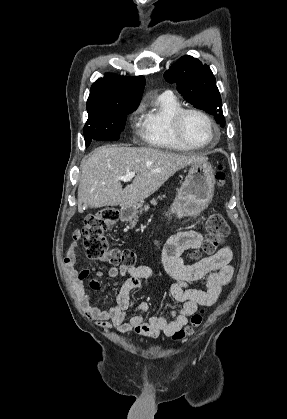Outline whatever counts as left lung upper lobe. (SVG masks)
Returning <instances> with one entry per match:
<instances>
[{
  "label": "left lung upper lobe",
  "mask_w": 287,
  "mask_h": 419,
  "mask_svg": "<svg viewBox=\"0 0 287 419\" xmlns=\"http://www.w3.org/2000/svg\"><path fill=\"white\" fill-rule=\"evenodd\" d=\"M164 77L177 86L178 92L189 103L210 113L220 126H225L220 93L207 65L191 56H183L165 72Z\"/></svg>",
  "instance_id": "obj_1"
}]
</instances>
